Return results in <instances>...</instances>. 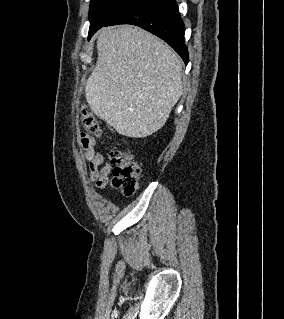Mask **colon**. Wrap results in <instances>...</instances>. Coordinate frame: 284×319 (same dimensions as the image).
<instances>
[{
  "label": "colon",
  "mask_w": 284,
  "mask_h": 319,
  "mask_svg": "<svg viewBox=\"0 0 284 319\" xmlns=\"http://www.w3.org/2000/svg\"><path fill=\"white\" fill-rule=\"evenodd\" d=\"M80 120L88 133L96 137L102 136V128L92 114L82 111ZM108 155L113 165V187L120 190L125 196L134 195L140 182V168L135 162L132 152L113 147Z\"/></svg>",
  "instance_id": "obj_1"
}]
</instances>
